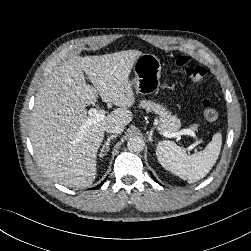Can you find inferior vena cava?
<instances>
[{
  "mask_svg": "<svg viewBox=\"0 0 251 251\" xmlns=\"http://www.w3.org/2000/svg\"><path fill=\"white\" fill-rule=\"evenodd\" d=\"M104 130L108 133L121 134L124 131V126L119 124H108L104 127Z\"/></svg>",
  "mask_w": 251,
  "mask_h": 251,
  "instance_id": "inferior-vena-cava-1",
  "label": "inferior vena cava"
}]
</instances>
